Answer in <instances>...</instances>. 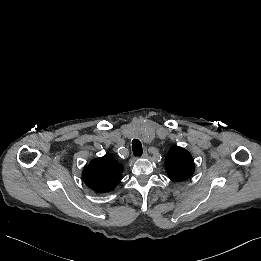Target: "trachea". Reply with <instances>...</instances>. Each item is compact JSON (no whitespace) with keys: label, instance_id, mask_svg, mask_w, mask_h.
<instances>
[{"label":"trachea","instance_id":"3493384b","mask_svg":"<svg viewBox=\"0 0 261 261\" xmlns=\"http://www.w3.org/2000/svg\"><path fill=\"white\" fill-rule=\"evenodd\" d=\"M132 151L135 157H140L143 153L142 144L138 139H134L132 142Z\"/></svg>","mask_w":261,"mask_h":261}]
</instances>
